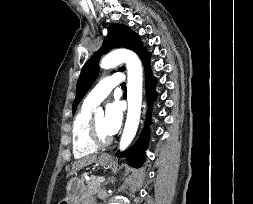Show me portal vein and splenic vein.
Listing matches in <instances>:
<instances>
[{
    "label": "portal vein and splenic vein",
    "mask_w": 253,
    "mask_h": 204,
    "mask_svg": "<svg viewBox=\"0 0 253 204\" xmlns=\"http://www.w3.org/2000/svg\"><path fill=\"white\" fill-rule=\"evenodd\" d=\"M95 180L99 183H102L104 181L102 177H95Z\"/></svg>",
    "instance_id": "obj_1"
}]
</instances>
